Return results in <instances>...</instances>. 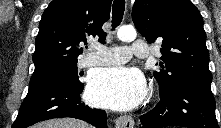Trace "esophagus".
<instances>
[{
  "instance_id": "34e87169",
  "label": "esophagus",
  "mask_w": 221,
  "mask_h": 128,
  "mask_svg": "<svg viewBox=\"0 0 221 128\" xmlns=\"http://www.w3.org/2000/svg\"><path fill=\"white\" fill-rule=\"evenodd\" d=\"M116 126L118 128H134V120L131 116L121 115L116 119Z\"/></svg>"
}]
</instances>
